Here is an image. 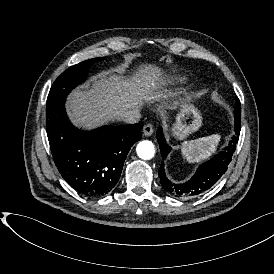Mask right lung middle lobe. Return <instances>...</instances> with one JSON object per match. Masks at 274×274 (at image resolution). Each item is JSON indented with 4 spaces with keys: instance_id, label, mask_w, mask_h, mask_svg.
<instances>
[{
    "instance_id": "obj_1",
    "label": "right lung middle lobe",
    "mask_w": 274,
    "mask_h": 274,
    "mask_svg": "<svg viewBox=\"0 0 274 274\" xmlns=\"http://www.w3.org/2000/svg\"><path fill=\"white\" fill-rule=\"evenodd\" d=\"M103 59L104 57L89 59L65 70L55 80L50 89L47 98V107L56 101L65 100L72 89L85 81L88 70L92 64L102 61Z\"/></svg>"
}]
</instances>
